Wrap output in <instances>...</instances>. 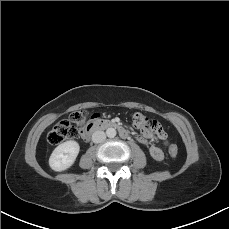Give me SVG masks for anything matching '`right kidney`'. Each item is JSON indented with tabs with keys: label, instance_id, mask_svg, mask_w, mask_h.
Wrapping results in <instances>:
<instances>
[{
	"label": "right kidney",
	"instance_id": "right-kidney-1",
	"mask_svg": "<svg viewBox=\"0 0 229 229\" xmlns=\"http://www.w3.org/2000/svg\"><path fill=\"white\" fill-rule=\"evenodd\" d=\"M80 146L76 141L70 140L58 145L49 158V166L54 171H64L70 168L79 153Z\"/></svg>",
	"mask_w": 229,
	"mask_h": 229
}]
</instances>
